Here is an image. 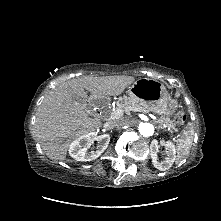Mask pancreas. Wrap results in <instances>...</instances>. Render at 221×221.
Returning a JSON list of instances; mask_svg holds the SVG:
<instances>
[{
  "label": "pancreas",
  "instance_id": "obj_1",
  "mask_svg": "<svg viewBox=\"0 0 221 221\" xmlns=\"http://www.w3.org/2000/svg\"><path fill=\"white\" fill-rule=\"evenodd\" d=\"M117 109H122L125 113H129L131 110H138L143 113H147L149 111L146 108L139 106L131 98L126 97V96L119 97L117 101ZM157 122H159L161 125L173 127V124L169 117H161Z\"/></svg>",
  "mask_w": 221,
  "mask_h": 221
}]
</instances>
